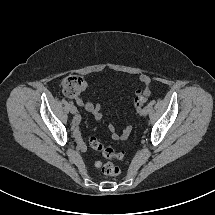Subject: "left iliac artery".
I'll list each match as a JSON object with an SVG mask.
<instances>
[{
    "mask_svg": "<svg viewBox=\"0 0 215 215\" xmlns=\"http://www.w3.org/2000/svg\"><path fill=\"white\" fill-rule=\"evenodd\" d=\"M142 110H143V109L140 107V108H137V109H136V112H137V113H140Z\"/></svg>",
    "mask_w": 215,
    "mask_h": 215,
    "instance_id": "obj_1",
    "label": "left iliac artery"
}]
</instances>
